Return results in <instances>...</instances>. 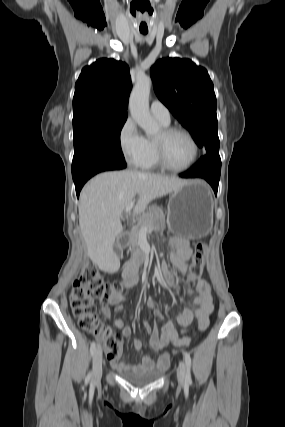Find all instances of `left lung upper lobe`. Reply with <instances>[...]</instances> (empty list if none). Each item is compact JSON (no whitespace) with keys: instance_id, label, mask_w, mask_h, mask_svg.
I'll use <instances>...</instances> for the list:
<instances>
[{"instance_id":"5c2ea615","label":"left lung upper lobe","mask_w":285,"mask_h":427,"mask_svg":"<svg viewBox=\"0 0 285 427\" xmlns=\"http://www.w3.org/2000/svg\"><path fill=\"white\" fill-rule=\"evenodd\" d=\"M154 90L196 144L219 155L216 97L205 68L189 59L163 58L150 70Z\"/></svg>"}]
</instances>
